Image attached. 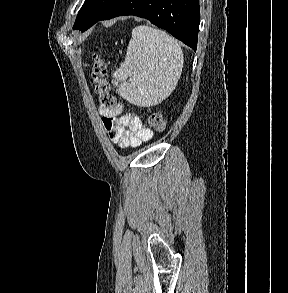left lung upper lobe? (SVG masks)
<instances>
[{
	"label": "left lung upper lobe",
	"mask_w": 288,
	"mask_h": 293,
	"mask_svg": "<svg viewBox=\"0 0 288 293\" xmlns=\"http://www.w3.org/2000/svg\"><path fill=\"white\" fill-rule=\"evenodd\" d=\"M117 0H86L81 7L73 29L86 31L94 25Z\"/></svg>",
	"instance_id": "1"
}]
</instances>
